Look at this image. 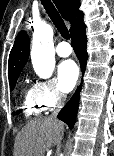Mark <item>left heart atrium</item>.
Returning a JSON list of instances; mask_svg holds the SVG:
<instances>
[{
    "instance_id": "obj_1",
    "label": "left heart atrium",
    "mask_w": 114,
    "mask_h": 156,
    "mask_svg": "<svg viewBox=\"0 0 114 156\" xmlns=\"http://www.w3.org/2000/svg\"><path fill=\"white\" fill-rule=\"evenodd\" d=\"M79 75L76 63L72 60L63 61L58 67V84L63 92H69L75 86Z\"/></svg>"
}]
</instances>
